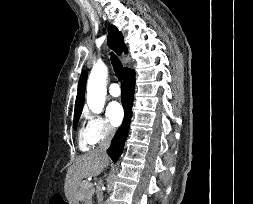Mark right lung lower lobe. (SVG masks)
Listing matches in <instances>:
<instances>
[{"mask_svg":"<svg viewBox=\"0 0 253 204\" xmlns=\"http://www.w3.org/2000/svg\"><path fill=\"white\" fill-rule=\"evenodd\" d=\"M122 88V105L125 111V116L122 125L116 132L115 136L111 141L110 147L107 149L108 155L112 158L114 162H117L120 157L123 148L126 136L129 130V124L132 116V104L135 92V72L132 69H128L124 72Z\"/></svg>","mask_w":253,"mask_h":204,"instance_id":"right-lung-lower-lobe-1","label":"right lung lower lobe"}]
</instances>
